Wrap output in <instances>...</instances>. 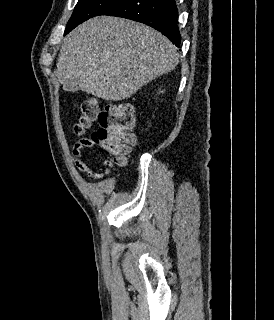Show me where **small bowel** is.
<instances>
[{
    "mask_svg": "<svg viewBox=\"0 0 274 320\" xmlns=\"http://www.w3.org/2000/svg\"><path fill=\"white\" fill-rule=\"evenodd\" d=\"M93 145H96V142H91L90 139H79L72 152V161L79 171L86 173L92 178H100L109 173V167H105L102 172H95L83 161V150L92 147Z\"/></svg>",
    "mask_w": 274,
    "mask_h": 320,
    "instance_id": "1",
    "label": "small bowel"
}]
</instances>
